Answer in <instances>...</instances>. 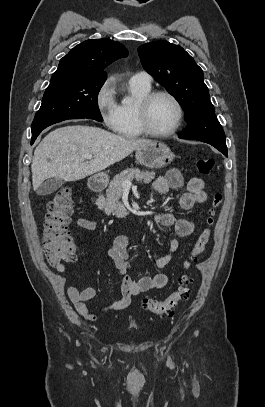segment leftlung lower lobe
I'll return each mask as SVG.
<instances>
[{
  "label": "left lung lower lobe",
  "instance_id": "left-lung-lower-lobe-1",
  "mask_svg": "<svg viewBox=\"0 0 265 407\" xmlns=\"http://www.w3.org/2000/svg\"><path fill=\"white\" fill-rule=\"evenodd\" d=\"M215 148H217L219 151H221L224 155H226V156L228 155V151L226 152L225 150H223L219 147H215Z\"/></svg>",
  "mask_w": 265,
  "mask_h": 407
}]
</instances>
